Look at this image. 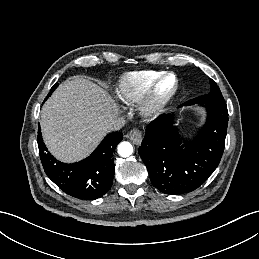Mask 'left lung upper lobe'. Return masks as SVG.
Returning <instances> with one entry per match:
<instances>
[{
    "mask_svg": "<svg viewBox=\"0 0 259 259\" xmlns=\"http://www.w3.org/2000/svg\"><path fill=\"white\" fill-rule=\"evenodd\" d=\"M210 86L211 92L209 94L190 100L187 103L225 104L219 87L212 79L210 80Z\"/></svg>",
    "mask_w": 259,
    "mask_h": 259,
    "instance_id": "left-lung-upper-lobe-1",
    "label": "left lung upper lobe"
}]
</instances>
